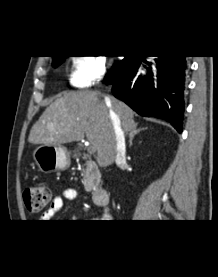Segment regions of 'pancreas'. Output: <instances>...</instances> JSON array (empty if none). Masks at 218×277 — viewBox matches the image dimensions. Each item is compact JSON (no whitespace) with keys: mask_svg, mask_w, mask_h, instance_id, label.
<instances>
[{"mask_svg":"<svg viewBox=\"0 0 218 277\" xmlns=\"http://www.w3.org/2000/svg\"><path fill=\"white\" fill-rule=\"evenodd\" d=\"M81 175L82 184L87 192H90L100 182L101 174L94 162L87 161Z\"/></svg>","mask_w":218,"mask_h":277,"instance_id":"obj_1","label":"pancreas"}]
</instances>
